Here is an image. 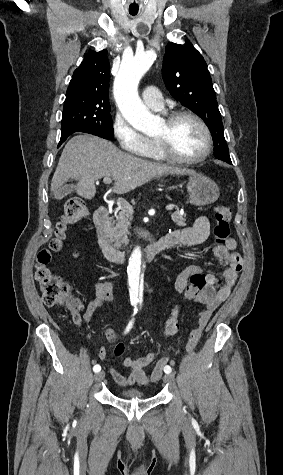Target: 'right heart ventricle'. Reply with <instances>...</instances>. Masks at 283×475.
<instances>
[{
  "instance_id": "obj_1",
  "label": "right heart ventricle",
  "mask_w": 283,
  "mask_h": 475,
  "mask_svg": "<svg viewBox=\"0 0 283 475\" xmlns=\"http://www.w3.org/2000/svg\"><path fill=\"white\" fill-rule=\"evenodd\" d=\"M148 155L150 158L154 160H162L161 157L159 156L157 145L154 139L150 140V149H149Z\"/></svg>"
}]
</instances>
